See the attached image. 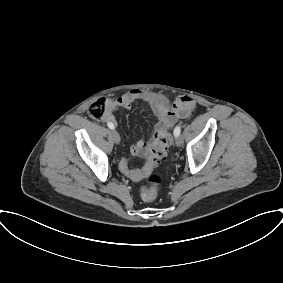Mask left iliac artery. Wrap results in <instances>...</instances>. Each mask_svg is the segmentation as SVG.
Segmentation results:
<instances>
[{
	"mask_svg": "<svg viewBox=\"0 0 283 283\" xmlns=\"http://www.w3.org/2000/svg\"><path fill=\"white\" fill-rule=\"evenodd\" d=\"M180 132H181V127L180 126H177L175 129H174V136L177 137L180 135Z\"/></svg>",
	"mask_w": 283,
	"mask_h": 283,
	"instance_id": "1",
	"label": "left iliac artery"
}]
</instances>
